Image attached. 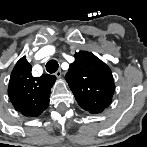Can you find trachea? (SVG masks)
<instances>
[{"label":"trachea","mask_w":147,"mask_h":147,"mask_svg":"<svg viewBox=\"0 0 147 147\" xmlns=\"http://www.w3.org/2000/svg\"><path fill=\"white\" fill-rule=\"evenodd\" d=\"M58 67H59L58 61L54 59L48 61L46 64V70L50 74L56 72Z\"/></svg>","instance_id":"1"}]
</instances>
